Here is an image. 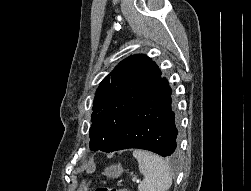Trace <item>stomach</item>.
<instances>
[{"mask_svg": "<svg viewBox=\"0 0 251 191\" xmlns=\"http://www.w3.org/2000/svg\"><path fill=\"white\" fill-rule=\"evenodd\" d=\"M124 169L121 163H115V165H108L105 167L104 171H102L103 175H107V177H119L121 173H123ZM80 191H88V185L82 181L80 187Z\"/></svg>", "mask_w": 251, "mask_h": 191, "instance_id": "stomach-1", "label": "stomach"}]
</instances>
